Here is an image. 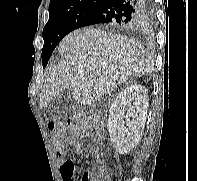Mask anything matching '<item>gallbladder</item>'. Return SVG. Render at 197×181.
Returning a JSON list of instances; mask_svg holds the SVG:
<instances>
[{"label": "gallbladder", "mask_w": 197, "mask_h": 181, "mask_svg": "<svg viewBox=\"0 0 197 181\" xmlns=\"http://www.w3.org/2000/svg\"><path fill=\"white\" fill-rule=\"evenodd\" d=\"M72 107V88H67L63 93L55 97L48 105V109L53 112H64Z\"/></svg>", "instance_id": "obj_1"}]
</instances>
